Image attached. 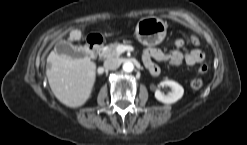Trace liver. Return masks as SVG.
<instances>
[{
	"label": "liver",
	"mask_w": 247,
	"mask_h": 145,
	"mask_svg": "<svg viewBox=\"0 0 247 145\" xmlns=\"http://www.w3.org/2000/svg\"><path fill=\"white\" fill-rule=\"evenodd\" d=\"M80 38V30L70 32V41ZM46 76L53 94L61 103L72 108L80 107L91 95L96 63L89 58L73 59L54 50L47 58Z\"/></svg>",
	"instance_id": "1"
}]
</instances>
